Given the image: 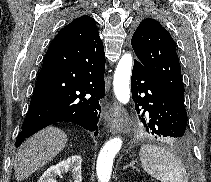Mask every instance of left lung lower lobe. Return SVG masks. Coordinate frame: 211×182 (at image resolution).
<instances>
[{
  "mask_svg": "<svg viewBox=\"0 0 211 182\" xmlns=\"http://www.w3.org/2000/svg\"><path fill=\"white\" fill-rule=\"evenodd\" d=\"M131 90L136 111L142 114L141 121L150 135L183 140L187 126L184 102L160 85L137 60H134Z\"/></svg>",
  "mask_w": 211,
  "mask_h": 182,
  "instance_id": "1",
  "label": "left lung lower lobe"
}]
</instances>
